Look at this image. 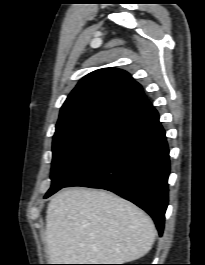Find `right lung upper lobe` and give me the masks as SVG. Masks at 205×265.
Listing matches in <instances>:
<instances>
[{"mask_svg":"<svg viewBox=\"0 0 205 265\" xmlns=\"http://www.w3.org/2000/svg\"><path fill=\"white\" fill-rule=\"evenodd\" d=\"M152 108L128 72L103 68L83 77L64 102L56 125L61 133L99 123L126 126Z\"/></svg>","mask_w":205,"mask_h":265,"instance_id":"cb5924a9","label":"right lung upper lobe"}]
</instances>
